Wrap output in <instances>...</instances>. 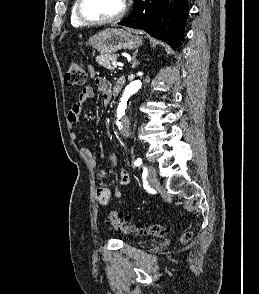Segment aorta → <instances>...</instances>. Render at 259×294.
Masks as SVG:
<instances>
[{
    "label": "aorta",
    "instance_id": "obj_1",
    "mask_svg": "<svg viewBox=\"0 0 259 294\" xmlns=\"http://www.w3.org/2000/svg\"><path fill=\"white\" fill-rule=\"evenodd\" d=\"M141 85L142 83L140 80H135L131 82L129 85H127V87L122 93L115 115L116 130L119 134H127L129 130L130 123L125 114L127 100L131 95L138 92V90L141 88Z\"/></svg>",
    "mask_w": 259,
    "mask_h": 294
}]
</instances>
